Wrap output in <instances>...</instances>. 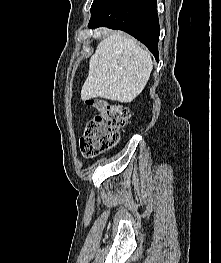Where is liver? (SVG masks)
<instances>
[{
  "mask_svg": "<svg viewBox=\"0 0 221 263\" xmlns=\"http://www.w3.org/2000/svg\"><path fill=\"white\" fill-rule=\"evenodd\" d=\"M101 39L89 61V72L81 99L104 98L121 103L133 101L146 86L153 69L148 51L120 32L99 29Z\"/></svg>",
  "mask_w": 221,
  "mask_h": 263,
  "instance_id": "1",
  "label": "liver"
}]
</instances>
